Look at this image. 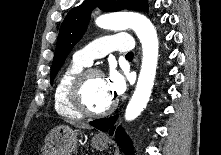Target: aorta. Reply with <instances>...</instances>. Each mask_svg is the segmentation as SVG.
Masks as SVG:
<instances>
[{"label": "aorta", "instance_id": "1", "mask_svg": "<svg viewBox=\"0 0 221 155\" xmlns=\"http://www.w3.org/2000/svg\"><path fill=\"white\" fill-rule=\"evenodd\" d=\"M96 25L108 30L131 28L142 44V64L135 91L125 110L127 121L137 118L146 107L154 85L158 62V37L151 21L142 14L129 12L103 15Z\"/></svg>", "mask_w": 221, "mask_h": 155}]
</instances>
